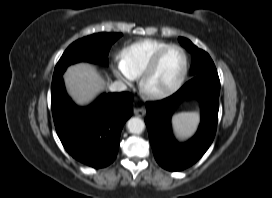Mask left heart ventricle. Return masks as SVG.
<instances>
[{
	"mask_svg": "<svg viewBox=\"0 0 272 198\" xmlns=\"http://www.w3.org/2000/svg\"><path fill=\"white\" fill-rule=\"evenodd\" d=\"M184 67V57L180 50L171 49L162 57L157 69L147 82L151 91H161L171 87L180 77Z\"/></svg>",
	"mask_w": 272,
	"mask_h": 198,
	"instance_id": "obj_1",
	"label": "left heart ventricle"
}]
</instances>
